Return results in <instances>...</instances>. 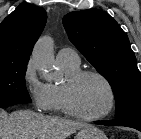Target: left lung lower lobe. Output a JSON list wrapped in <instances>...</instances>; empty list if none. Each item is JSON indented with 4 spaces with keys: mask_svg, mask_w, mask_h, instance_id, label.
<instances>
[{
    "mask_svg": "<svg viewBox=\"0 0 141 139\" xmlns=\"http://www.w3.org/2000/svg\"><path fill=\"white\" fill-rule=\"evenodd\" d=\"M96 123L107 126H126L141 131V115L111 121H96Z\"/></svg>",
    "mask_w": 141,
    "mask_h": 139,
    "instance_id": "1",
    "label": "left lung lower lobe"
}]
</instances>
